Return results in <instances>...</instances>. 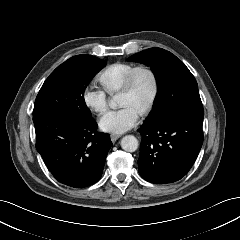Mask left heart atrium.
<instances>
[{"instance_id":"left-heart-atrium-1","label":"left heart atrium","mask_w":240,"mask_h":240,"mask_svg":"<svg viewBox=\"0 0 240 240\" xmlns=\"http://www.w3.org/2000/svg\"><path fill=\"white\" fill-rule=\"evenodd\" d=\"M138 120V113L132 108L124 106L106 112L99 120V127L104 132L122 134L134 127Z\"/></svg>"}]
</instances>
